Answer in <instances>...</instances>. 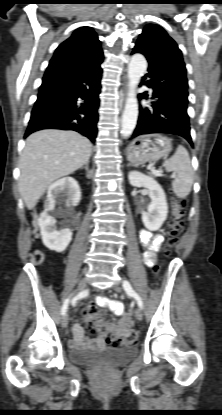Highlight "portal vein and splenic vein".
Masks as SVG:
<instances>
[{"instance_id":"obj_1","label":"portal vein and splenic vein","mask_w":222,"mask_h":415,"mask_svg":"<svg viewBox=\"0 0 222 415\" xmlns=\"http://www.w3.org/2000/svg\"><path fill=\"white\" fill-rule=\"evenodd\" d=\"M148 168H149L152 172L159 173V171L154 170L153 164L149 165V167H148ZM170 177H171V178H175V177H176V175H175V174H172Z\"/></svg>"}]
</instances>
